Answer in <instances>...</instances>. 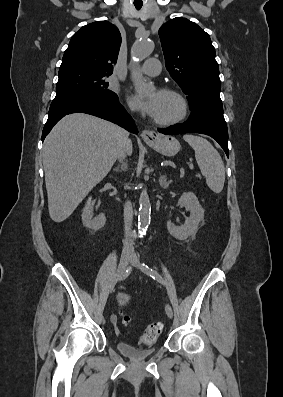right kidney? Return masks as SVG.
Segmentation results:
<instances>
[{
  "mask_svg": "<svg viewBox=\"0 0 283 397\" xmlns=\"http://www.w3.org/2000/svg\"><path fill=\"white\" fill-rule=\"evenodd\" d=\"M91 197L88 198L87 204L85 205L82 213L83 225L93 231H97L104 227L106 223V217L101 214L97 217H93L92 207L90 206Z\"/></svg>",
  "mask_w": 283,
  "mask_h": 397,
  "instance_id": "1",
  "label": "right kidney"
}]
</instances>
